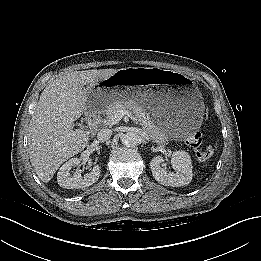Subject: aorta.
<instances>
[{
    "label": "aorta",
    "mask_w": 261,
    "mask_h": 261,
    "mask_svg": "<svg viewBox=\"0 0 261 261\" xmlns=\"http://www.w3.org/2000/svg\"><path fill=\"white\" fill-rule=\"evenodd\" d=\"M121 141L126 147H135L140 142V136L138 133L130 131L122 136Z\"/></svg>",
    "instance_id": "aorta-1"
}]
</instances>
